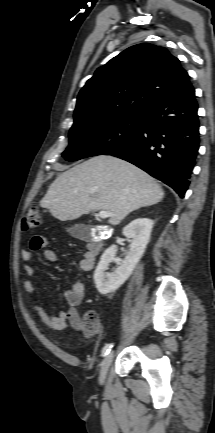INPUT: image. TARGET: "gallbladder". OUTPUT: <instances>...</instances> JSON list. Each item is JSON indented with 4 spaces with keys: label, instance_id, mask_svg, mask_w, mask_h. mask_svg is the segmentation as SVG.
<instances>
[{
    "label": "gallbladder",
    "instance_id": "obj_1",
    "mask_svg": "<svg viewBox=\"0 0 215 433\" xmlns=\"http://www.w3.org/2000/svg\"><path fill=\"white\" fill-rule=\"evenodd\" d=\"M71 236L87 240L90 237V227L85 224H75L67 229Z\"/></svg>",
    "mask_w": 215,
    "mask_h": 433
}]
</instances>
